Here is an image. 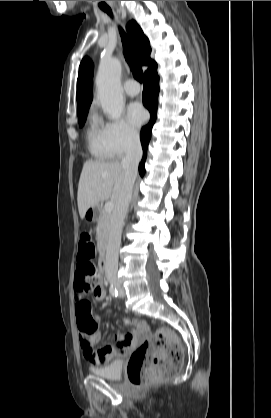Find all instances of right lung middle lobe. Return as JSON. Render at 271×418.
<instances>
[{
    "label": "right lung middle lobe",
    "instance_id": "obj_1",
    "mask_svg": "<svg viewBox=\"0 0 271 418\" xmlns=\"http://www.w3.org/2000/svg\"><path fill=\"white\" fill-rule=\"evenodd\" d=\"M87 114H82L78 116L79 126L82 127L85 123Z\"/></svg>",
    "mask_w": 271,
    "mask_h": 418
}]
</instances>
